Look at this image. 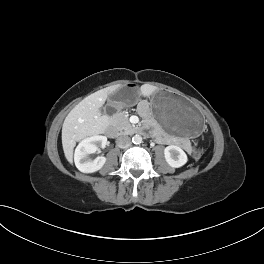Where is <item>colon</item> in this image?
Returning a JSON list of instances; mask_svg holds the SVG:
<instances>
[{
    "label": "colon",
    "mask_w": 264,
    "mask_h": 264,
    "mask_svg": "<svg viewBox=\"0 0 264 264\" xmlns=\"http://www.w3.org/2000/svg\"><path fill=\"white\" fill-rule=\"evenodd\" d=\"M201 154H202V149H196V150L194 151V155H195L196 157L201 156Z\"/></svg>",
    "instance_id": "5ec220e1"
}]
</instances>
